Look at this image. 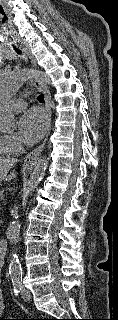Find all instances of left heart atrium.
<instances>
[{
  "mask_svg": "<svg viewBox=\"0 0 118 320\" xmlns=\"http://www.w3.org/2000/svg\"><path fill=\"white\" fill-rule=\"evenodd\" d=\"M47 127L48 117L39 108L29 109L19 120L20 134L28 144L37 142L44 135Z\"/></svg>",
  "mask_w": 118,
  "mask_h": 320,
  "instance_id": "obj_1",
  "label": "left heart atrium"
}]
</instances>
